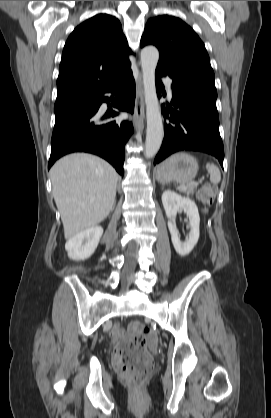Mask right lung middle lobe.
I'll return each mask as SVG.
<instances>
[{
    "label": "right lung middle lobe",
    "instance_id": "obj_1",
    "mask_svg": "<svg viewBox=\"0 0 271 418\" xmlns=\"http://www.w3.org/2000/svg\"><path fill=\"white\" fill-rule=\"evenodd\" d=\"M87 100H90V99L77 100V101H71V102H65V103H57L54 106V111L56 112V111H59V110L65 108L67 106L74 105V104L84 102V101H87Z\"/></svg>",
    "mask_w": 271,
    "mask_h": 418
}]
</instances>
